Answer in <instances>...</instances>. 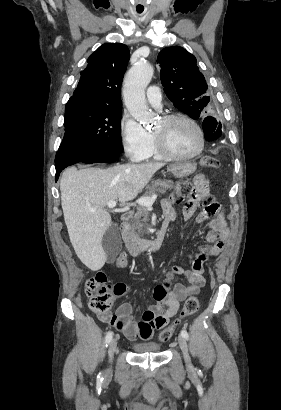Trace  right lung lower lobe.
Returning a JSON list of instances; mask_svg holds the SVG:
<instances>
[{
	"label": "right lung lower lobe",
	"instance_id": "obj_1",
	"mask_svg": "<svg viewBox=\"0 0 281 410\" xmlns=\"http://www.w3.org/2000/svg\"><path fill=\"white\" fill-rule=\"evenodd\" d=\"M120 153L114 152H95V153H78L64 157L58 163H56V181L60 175V172L67 166L73 165L78 162L84 163H111L118 160Z\"/></svg>",
	"mask_w": 281,
	"mask_h": 410
}]
</instances>
